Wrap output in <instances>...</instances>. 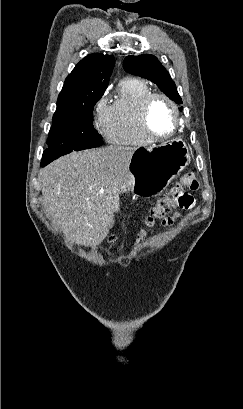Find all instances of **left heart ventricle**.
<instances>
[{
    "mask_svg": "<svg viewBox=\"0 0 243 409\" xmlns=\"http://www.w3.org/2000/svg\"><path fill=\"white\" fill-rule=\"evenodd\" d=\"M152 131L158 135L170 133L175 127V118L169 104L162 99H155L149 113Z\"/></svg>",
    "mask_w": 243,
    "mask_h": 409,
    "instance_id": "1",
    "label": "left heart ventricle"
}]
</instances>
